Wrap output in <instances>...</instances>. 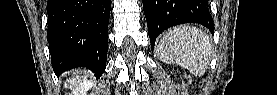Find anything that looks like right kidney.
<instances>
[{
  "mask_svg": "<svg viewBox=\"0 0 277 95\" xmlns=\"http://www.w3.org/2000/svg\"><path fill=\"white\" fill-rule=\"evenodd\" d=\"M92 87V83L91 82H84L81 84V91H80V94L82 95H86V91Z\"/></svg>",
  "mask_w": 277,
  "mask_h": 95,
  "instance_id": "ca27d5eb",
  "label": "right kidney"
}]
</instances>
